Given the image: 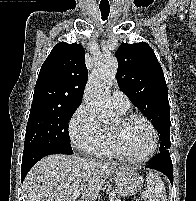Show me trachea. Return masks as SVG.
Masks as SVG:
<instances>
[{
    "label": "trachea",
    "instance_id": "1",
    "mask_svg": "<svg viewBox=\"0 0 196 201\" xmlns=\"http://www.w3.org/2000/svg\"><path fill=\"white\" fill-rule=\"evenodd\" d=\"M99 8H100L101 16H102L101 19L103 21H105L108 18V16H109L110 7L109 6L108 7L100 6Z\"/></svg>",
    "mask_w": 196,
    "mask_h": 201
}]
</instances>
